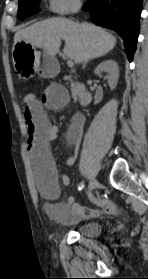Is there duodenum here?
I'll return each mask as SVG.
<instances>
[{"label":"duodenum","mask_w":148,"mask_h":279,"mask_svg":"<svg viewBox=\"0 0 148 279\" xmlns=\"http://www.w3.org/2000/svg\"><path fill=\"white\" fill-rule=\"evenodd\" d=\"M92 101V95L89 88L85 85H82L79 90V103L81 106H86Z\"/></svg>","instance_id":"obj_1"}]
</instances>
